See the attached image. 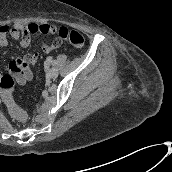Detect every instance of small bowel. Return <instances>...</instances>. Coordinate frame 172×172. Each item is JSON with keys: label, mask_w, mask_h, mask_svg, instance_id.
I'll return each instance as SVG.
<instances>
[{"label": "small bowel", "mask_w": 172, "mask_h": 172, "mask_svg": "<svg viewBox=\"0 0 172 172\" xmlns=\"http://www.w3.org/2000/svg\"><path fill=\"white\" fill-rule=\"evenodd\" d=\"M38 26H47L50 28L48 32L37 31L36 33L40 34H52L54 27L49 24H41ZM25 26L22 25H15L12 28H9L6 25L0 26V47H5L9 43V37L14 41L18 42L21 46L27 47L31 43V37L28 38L26 41H23L22 37V29ZM35 34V33H34ZM33 35V34H32ZM60 46V41L56 40L51 45L42 42L41 49L44 53H49L52 49L57 48ZM37 61V54L27 55L24 58L17 57L13 59L10 63L11 69L17 70V79L19 83H24L27 79L31 77L30 68L33 66Z\"/></svg>", "instance_id": "small-bowel-1"}]
</instances>
